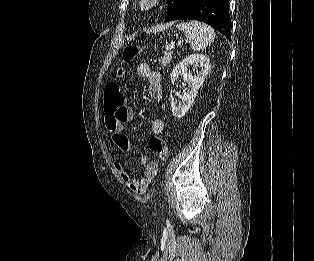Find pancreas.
Returning a JSON list of instances; mask_svg holds the SVG:
<instances>
[{"label":"pancreas","mask_w":314,"mask_h":261,"mask_svg":"<svg viewBox=\"0 0 314 261\" xmlns=\"http://www.w3.org/2000/svg\"><path fill=\"white\" fill-rule=\"evenodd\" d=\"M172 60V52L169 50H166L161 58L159 59V64L162 65V67H166L170 61Z\"/></svg>","instance_id":"cf45deb5"}]
</instances>
